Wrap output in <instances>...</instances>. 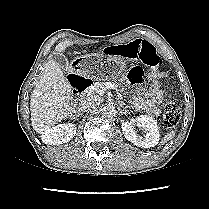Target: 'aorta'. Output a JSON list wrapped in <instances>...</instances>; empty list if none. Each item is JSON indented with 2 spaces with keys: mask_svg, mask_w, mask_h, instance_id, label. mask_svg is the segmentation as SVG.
Segmentation results:
<instances>
[{
  "mask_svg": "<svg viewBox=\"0 0 209 209\" xmlns=\"http://www.w3.org/2000/svg\"><path fill=\"white\" fill-rule=\"evenodd\" d=\"M102 114L105 118H113L117 114V110L114 105L107 104L102 108Z\"/></svg>",
  "mask_w": 209,
  "mask_h": 209,
  "instance_id": "762f6f07",
  "label": "aorta"
}]
</instances>
